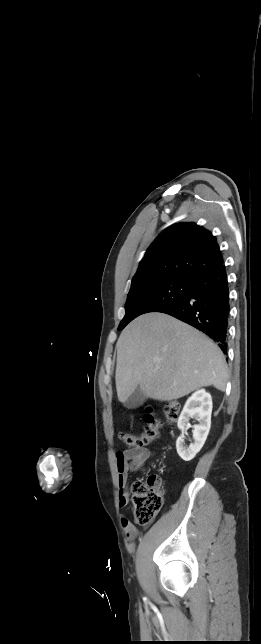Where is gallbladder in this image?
Instances as JSON below:
<instances>
[{"label":"gallbladder","instance_id":"obj_1","mask_svg":"<svg viewBox=\"0 0 261 644\" xmlns=\"http://www.w3.org/2000/svg\"><path fill=\"white\" fill-rule=\"evenodd\" d=\"M146 398L139 387L125 401L124 406L127 409H136L145 402Z\"/></svg>","mask_w":261,"mask_h":644}]
</instances>
